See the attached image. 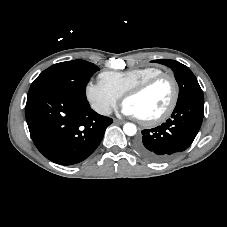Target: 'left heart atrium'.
<instances>
[{
    "label": "left heart atrium",
    "mask_w": 227,
    "mask_h": 227,
    "mask_svg": "<svg viewBox=\"0 0 227 227\" xmlns=\"http://www.w3.org/2000/svg\"><path fill=\"white\" fill-rule=\"evenodd\" d=\"M121 111L126 116L139 118L136 111L130 105L126 104L125 102L122 105Z\"/></svg>",
    "instance_id": "left-heart-atrium-1"
}]
</instances>
